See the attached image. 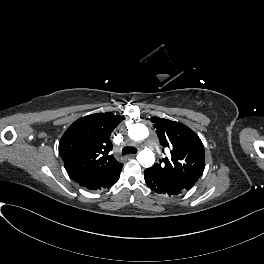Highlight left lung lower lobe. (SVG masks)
Instances as JSON below:
<instances>
[{"label": "left lung lower lobe", "instance_id": "0a47b994", "mask_svg": "<svg viewBox=\"0 0 264 264\" xmlns=\"http://www.w3.org/2000/svg\"><path fill=\"white\" fill-rule=\"evenodd\" d=\"M144 177H145V182L150 187V189L159 195L172 197L182 193L179 190L169 185H166L164 182L146 173Z\"/></svg>", "mask_w": 264, "mask_h": 264}]
</instances>
